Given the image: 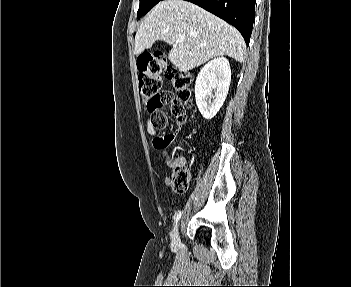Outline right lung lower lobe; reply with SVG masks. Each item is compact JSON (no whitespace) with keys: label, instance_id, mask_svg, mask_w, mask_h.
<instances>
[{"label":"right lung lower lobe","instance_id":"right-lung-lower-lobe-1","mask_svg":"<svg viewBox=\"0 0 351 287\" xmlns=\"http://www.w3.org/2000/svg\"><path fill=\"white\" fill-rule=\"evenodd\" d=\"M236 27L249 44L255 18L256 0H186Z\"/></svg>","mask_w":351,"mask_h":287}]
</instances>
